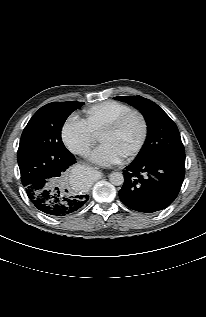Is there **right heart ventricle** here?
<instances>
[{"label": "right heart ventricle", "mask_w": 206, "mask_h": 317, "mask_svg": "<svg viewBox=\"0 0 206 317\" xmlns=\"http://www.w3.org/2000/svg\"><path fill=\"white\" fill-rule=\"evenodd\" d=\"M130 110L125 103L108 100L84 109L83 120L94 134H99L110 121Z\"/></svg>", "instance_id": "right-heart-ventricle-1"}]
</instances>
